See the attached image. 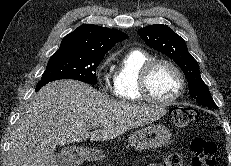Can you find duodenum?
<instances>
[{
	"label": "duodenum",
	"instance_id": "duodenum-1",
	"mask_svg": "<svg viewBox=\"0 0 231 166\" xmlns=\"http://www.w3.org/2000/svg\"><path fill=\"white\" fill-rule=\"evenodd\" d=\"M64 160H72L74 158V154L72 152H65L63 154Z\"/></svg>",
	"mask_w": 231,
	"mask_h": 166
}]
</instances>
